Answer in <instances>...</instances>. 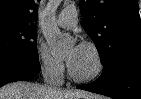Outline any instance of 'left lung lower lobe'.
<instances>
[{"label":"left lung lower lobe","mask_w":141,"mask_h":99,"mask_svg":"<svg viewBox=\"0 0 141 99\" xmlns=\"http://www.w3.org/2000/svg\"><path fill=\"white\" fill-rule=\"evenodd\" d=\"M77 88L114 99H141V57H121L96 81Z\"/></svg>","instance_id":"1"}]
</instances>
